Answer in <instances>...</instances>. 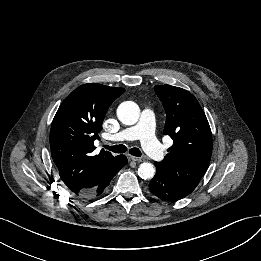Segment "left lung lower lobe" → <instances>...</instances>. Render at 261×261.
<instances>
[{
    "instance_id": "left-lung-lower-lobe-1",
    "label": "left lung lower lobe",
    "mask_w": 261,
    "mask_h": 261,
    "mask_svg": "<svg viewBox=\"0 0 261 261\" xmlns=\"http://www.w3.org/2000/svg\"><path fill=\"white\" fill-rule=\"evenodd\" d=\"M152 194L164 201H177L188 195L185 191L178 188L167 176V174L156 166V174L149 184Z\"/></svg>"
}]
</instances>
